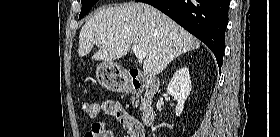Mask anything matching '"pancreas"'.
Listing matches in <instances>:
<instances>
[{
    "label": "pancreas",
    "instance_id": "obj_1",
    "mask_svg": "<svg viewBox=\"0 0 280 137\" xmlns=\"http://www.w3.org/2000/svg\"><path fill=\"white\" fill-rule=\"evenodd\" d=\"M138 97H139L138 95H137L136 97H135V96H134V97H132V101H133V102L135 101V105H134V107H136V108L139 106V102H138V100H137V99H138Z\"/></svg>",
    "mask_w": 280,
    "mask_h": 137
}]
</instances>
